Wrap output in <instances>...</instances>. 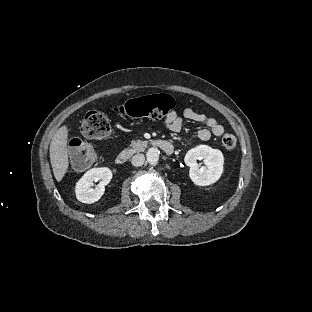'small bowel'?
<instances>
[{"instance_id": "small-bowel-1", "label": "small bowel", "mask_w": 312, "mask_h": 312, "mask_svg": "<svg viewBox=\"0 0 312 312\" xmlns=\"http://www.w3.org/2000/svg\"><path fill=\"white\" fill-rule=\"evenodd\" d=\"M185 121L203 123L207 126L198 132L199 139L203 141L209 140L211 136L220 137L224 133V126L217 119L192 108H185L181 113L174 109L170 110L164 118V125L168 131L179 133Z\"/></svg>"}]
</instances>
